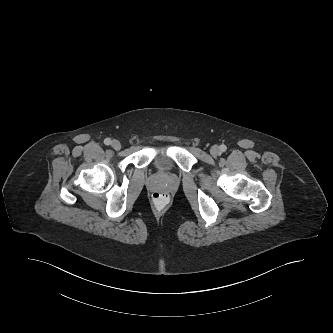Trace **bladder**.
Instances as JSON below:
<instances>
[{
	"mask_svg": "<svg viewBox=\"0 0 333 333\" xmlns=\"http://www.w3.org/2000/svg\"><path fill=\"white\" fill-rule=\"evenodd\" d=\"M156 163L159 166H165L169 163V159L167 157V155L163 152H158L156 155Z\"/></svg>",
	"mask_w": 333,
	"mask_h": 333,
	"instance_id": "31cf9c89",
	"label": "bladder"
}]
</instances>
